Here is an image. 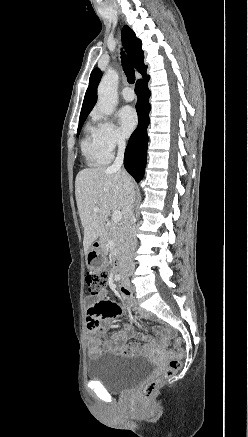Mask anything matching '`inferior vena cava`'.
<instances>
[{"mask_svg": "<svg viewBox=\"0 0 248 437\" xmlns=\"http://www.w3.org/2000/svg\"><path fill=\"white\" fill-rule=\"evenodd\" d=\"M118 152L117 157L110 167L111 170L114 171H122L124 174L125 171L121 169L123 165L124 159V151H125V140L123 138L118 139ZM135 202V192L133 184L129 183L126 186L125 190V201H124V220L122 226V237H123V245H122V264L124 266L132 267L133 263V252L136 247V236H135V220L133 216V207Z\"/></svg>", "mask_w": 248, "mask_h": 437, "instance_id": "602c4592", "label": "inferior vena cava"}]
</instances>
